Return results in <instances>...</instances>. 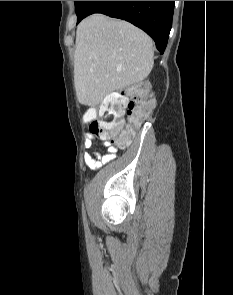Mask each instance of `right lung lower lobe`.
Returning <instances> with one entry per match:
<instances>
[{
	"label": "right lung lower lobe",
	"instance_id": "1",
	"mask_svg": "<svg viewBox=\"0 0 233 295\" xmlns=\"http://www.w3.org/2000/svg\"><path fill=\"white\" fill-rule=\"evenodd\" d=\"M175 1H88L79 23L93 13L123 19L144 30L164 53L172 26Z\"/></svg>",
	"mask_w": 233,
	"mask_h": 295
}]
</instances>
